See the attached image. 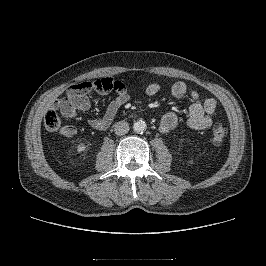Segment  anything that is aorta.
I'll list each match as a JSON object with an SVG mask.
<instances>
[{"mask_svg": "<svg viewBox=\"0 0 266 266\" xmlns=\"http://www.w3.org/2000/svg\"><path fill=\"white\" fill-rule=\"evenodd\" d=\"M147 126L143 120H137L133 124V130L136 133H143L146 130Z\"/></svg>", "mask_w": 266, "mask_h": 266, "instance_id": "obj_1", "label": "aorta"}]
</instances>
